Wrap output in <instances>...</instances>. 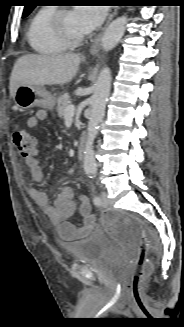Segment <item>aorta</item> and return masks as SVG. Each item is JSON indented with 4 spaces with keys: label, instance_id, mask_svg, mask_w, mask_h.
I'll return each instance as SVG.
<instances>
[{
    "label": "aorta",
    "instance_id": "762f6f07",
    "mask_svg": "<svg viewBox=\"0 0 184 327\" xmlns=\"http://www.w3.org/2000/svg\"><path fill=\"white\" fill-rule=\"evenodd\" d=\"M127 17L122 16L112 21L106 28L101 45L105 52L111 51L120 42L126 29ZM111 71L104 67L97 78L93 95L91 97V113L87 128V138L84 146L83 168L86 174L94 176L97 172L94 140L98 133L99 124L105 113L106 103L111 89Z\"/></svg>",
    "mask_w": 184,
    "mask_h": 327
}]
</instances>
